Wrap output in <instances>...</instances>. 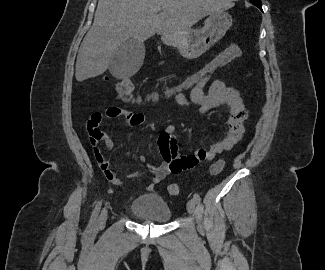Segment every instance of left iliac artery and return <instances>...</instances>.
<instances>
[{
  "label": "left iliac artery",
  "mask_w": 325,
  "mask_h": 270,
  "mask_svg": "<svg viewBox=\"0 0 325 270\" xmlns=\"http://www.w3.org/2000/svg\"><path fill=\"white\" fill-rule=\"evenodd\" d=\"M193 200L195 201V203H200L201 201V198H200V195L199 194H194L193 195Z\"/></svg>",
  "instance_id": "1"
}]
</instances>
